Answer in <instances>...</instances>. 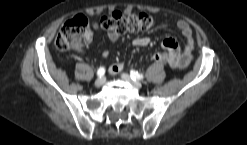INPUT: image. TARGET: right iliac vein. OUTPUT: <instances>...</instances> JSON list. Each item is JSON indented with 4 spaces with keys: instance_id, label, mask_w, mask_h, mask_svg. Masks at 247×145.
I'll use <instances>...</instances> for the list:
<instances>
[{
    "instance_id": "right-iliac-vein-1",
    "label": "right iliac vein",
    "mask_w": 247,
    "mask_h": 145,
    "mask_svg": "<svg viewBox=\"0 0 247 145\" xmlns=\"http://www.w3.org/2000/svg\"><path fill=\"white\" fill-rule=\"evenodd\" d=\"M105 83V77H100L95 81L96 87H101Z\"/></svg>"
}]
</instances>
